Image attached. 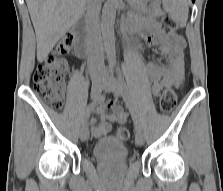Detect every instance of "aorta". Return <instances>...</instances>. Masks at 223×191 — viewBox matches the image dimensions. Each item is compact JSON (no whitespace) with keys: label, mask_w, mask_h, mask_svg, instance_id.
Wrapping results in <instances>:
<instances>
[{"label":"aorta","mask_w":223,"mask_h":191,"mask_svg":"<svg viewBox=\"0 0 223 191\" xmlns=\"http://www.w3.org/2000/svg\"><path fill=\"white\" fill-rule=\"evenodd\" d=\"M117 0H107L102 9L101 30L104 48L110 62L116 61L114 24L116 18Z\"/></svg>","instance_id":"obj_1"}]
</instances>
